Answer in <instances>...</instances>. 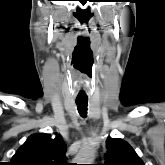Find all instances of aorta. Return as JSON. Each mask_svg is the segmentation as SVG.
Returning a JSON list of instances; mask_svg holds the SVG:
<instances>
[{
    "label": "aorta",
    "mask_w": 165,
    "mask_h": 165,
    "mask_svg": "<svg viewBox=\"0 0 165 165\" xmlns=\"http://www.w3.org/2000/svg\"><path fill=\"white\" fill-rule=\"evenodd\" d=\"M95 158V151L92 148L81 149L76 157L74 158V163L77 164H93Z\"/></svg>",
    "instance_id": "762f6f07"
}]
</instances>
